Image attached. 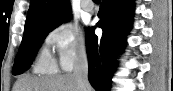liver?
<instances>
[{"label": "liver", "instance_id": "liver-1", "mask_svg": "<svg viewBox=\"0 0 173 91\" xmlns=\"http://www.w3.org/2000/svg\"><path fill=\"white\" fill-rule=\"evenodd\" d=\"M72 74L63 76H23L15 83L13 91H79ZM88 91H93L89 86Z\"/></svg>", "mask_w": 173, "mask_h": 91}]
</instances>
